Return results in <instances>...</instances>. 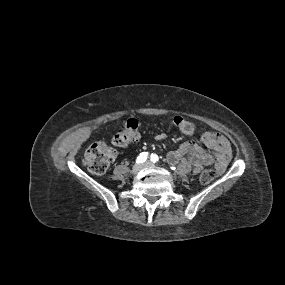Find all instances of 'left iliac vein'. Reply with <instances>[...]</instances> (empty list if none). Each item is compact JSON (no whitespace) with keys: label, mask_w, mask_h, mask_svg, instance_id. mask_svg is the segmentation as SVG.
Segmentation results:
<instances>
[{"label":"left iliac vein","mask_w":285,"mask_h":285,"mask_svg":"<svg viewBox=\"0 0 285 285\" xmlns=\"http://www.w3.org/2000/svg\"><path fill=\"white\" fill-rule=\"evenodd\" d=\"M153 164L151 163V162H146V163H144L142 166L144 167V168H147V167H151Z\"/></svg>","instance_id":"4c4485c4"}]
</instances>
